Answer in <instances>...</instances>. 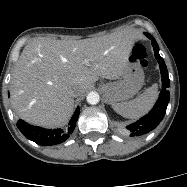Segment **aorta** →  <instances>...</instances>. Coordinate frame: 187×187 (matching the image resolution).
<instances>
[{"label": "aorta", "instance_id": "obj_1", "mask_svg": "<svg viewBox=\"0 0 187 187\" xmlns=\"http://www.w3.org/2000/svg\"><path fill=\"white\" fill-rule=\"evenodd\" d=\"M86 99L89 104L96 105L100 100V96L97 92H90Z\"/></svg>", "mask_w": 187, "mask_h": 187}]
</instances>
